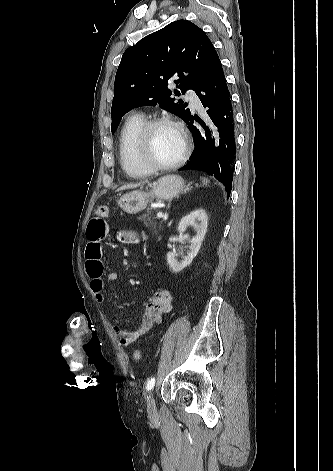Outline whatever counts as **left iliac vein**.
Returning <instances> with one entry per match:
<instances>
[{"label": "left iliac vein", "instance_id": "obj_1", "mask_svg": "<svg viewBox=\"0 0 333 471\" xmlns=\"http://www.w3.org/2000/svg\"><path fill=\"white\" fill-rule=\"evenodd\" d=\"M147 412L149 416H154L156 414V405L153 392H150L148 401H147Z\"/></svg>", "mask_w": 333, "mask_h": 471}]
</instances>
